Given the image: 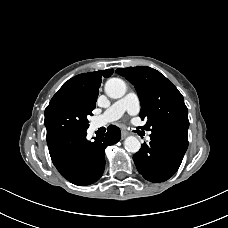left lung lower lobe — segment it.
I'll list each match as a JSON object with an SVG mask.
<instances>
[{
    "label": "left lung lower lobe",
    "mask_w": 228,
    "mask_h": 228,
    "mask_svg": "<svg viewBox=\"0 0 228 228\" xmlns=\"http://www.w3.org/2000/svg\"><path fill=\"white\" fill-rule=\"evenodd\" d=\"M149 144H142L134 154V163L141 175L151 182L168 180L178 170L188 148V133L175 128L152 131Z\"/></svg>",
    "instance_id": "left-lung-lower-lobe-1"
}]
</instances>
